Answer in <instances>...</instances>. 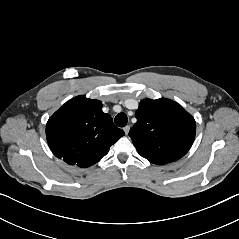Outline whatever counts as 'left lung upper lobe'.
I'll list each match as a JSON object with an SVG mask.
<instances>
[{"mask_svg":"<svg viewBox=\"0 0 239 239\" xmlns=\"http://www.w3.org/2000/svg\"><path fill=\"white\" fill-rule=\"evenodd\" d=\"M129 136L139 155L163 165L183 157L195 138V120L177 102L144 99L135 113Z\"/></svg>","mask_w":239,"mask_h":239,"instance_id":"left-lung-upper-lobe-1","label":"left lung upper lobe"}]
</instances>
